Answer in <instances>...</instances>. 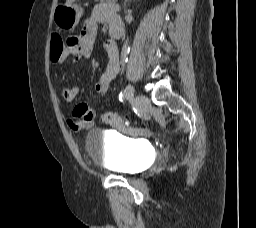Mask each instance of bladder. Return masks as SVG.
I'll return each instance as SVG.
<instances>
[{"mask_svg":"<svg viewBox=\"0 0 256 228\" xmlns=\"http://www.w3.org/2000/svg\"><path fill=\"white\" fill-rule=\"evenodd\" d=\"M85 148L93 162L124 175L142 172L150 158L148 148L138 141L110 138L97 128L87 133Z\"/></svg>","mask_w":256,"mask_h":228,"instance_id":"31cf9c89","label":"bladder"}]
</instances>
